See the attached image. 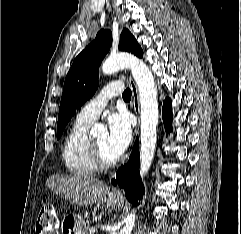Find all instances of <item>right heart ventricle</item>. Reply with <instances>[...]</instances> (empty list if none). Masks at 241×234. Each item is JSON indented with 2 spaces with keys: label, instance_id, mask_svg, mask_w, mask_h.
<instances>
[{
  "label": "right heart ventricle",
  "instance_id": "right-heart-ventricle-1",
  "mask_svg": "<svg viewBox=\"0 0 241 234\" xmlns=\"http://www.w3.org/2000/svg\"><path fill=\"white\" fill-rule=\"evenodd\" d=\"M91 123L76 121L68 131L62 157L67 170L77 176H90L98 171L91 157L88 129Z\"/></svg>",
  "mask_w": 241,
  "mask_h": 234
}]
</instances>
